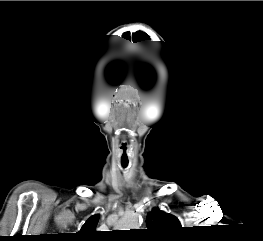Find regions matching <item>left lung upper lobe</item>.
I'll use <instances>...</instances> for the list:
<instances>
[{"mask_svg":"<svg viewBox=\"0 0 263 241\" xmlns=\"http://www.w3.org/2000/svg\"><path fill=\"white\" fill-rule=\"evenodd\" d=\"M146 225L149 232L157 233L163 238H177L181 230V224L177 217L153 208L147 214Z\"/></svg>","mask_w":263,"mask_h":241,"instance_id":"obj_1","label":"left lung upper lobe"}]
</instances>
